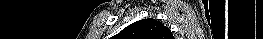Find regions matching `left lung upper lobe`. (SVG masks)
I'll return each mask as SVG.
<instances>
[{"mask_svg":"<svg viewBox=\"0 0 263 39\" xmlns=\"http://www.w3.org/2000/svg\"><path fill=\"white\" fill-rule=\"evenodd\" d=\"M114 37L115 39H174L170 29L155 19L134 22Z\"/></svg>","mask_w":263,"mask_h":39,"instance_id":"5c2ea615","label":"left lung upper lobe"}]
</instances>
